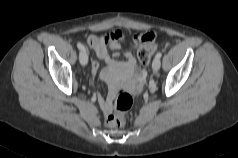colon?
<instances>
[{"mask_svg": "<svg viewBox=\"0 0 238 158\" xmlns=\"http://www.w3.org/2000/svg\"><path fill=\"white\" fill-rule=\"evenodd\" d=\"M144 40L152 41L154 37L152 35H145ZM156 50L154 43L144 44L137 53L138 61L142 65H148L152 54ZM133 98L125 90L119 89L115 93L113 110H111L106 116V125L111 128H119L125 124L126 113L132 107Z\"/></svg>", "mask_w": 238, "mask_h": 158, "instance_id": "5ec220e1", "label": "colon"}]
</instances>
